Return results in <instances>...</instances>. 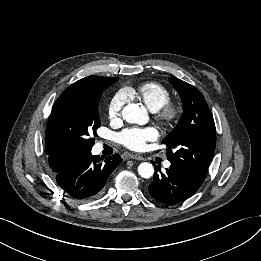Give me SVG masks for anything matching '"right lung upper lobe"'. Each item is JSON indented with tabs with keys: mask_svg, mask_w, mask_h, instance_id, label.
<instances>
[{
	"mask_svg": "<svg viewBox=\"0 0 261 261\" xmlns=\"http://www.w3.org/2000/svg\"><path fill=\"white\" fill-rule=\"evenodd\" d=\"M113 77H101V76H88L85 77L74 84L73 86L81 88H92L96 86H101L105 81ZM48 155V162L51 170L54 173L60 172L70 163L75 161L77 158L81 157L80 154L69 153V152H54V151H45Z\"/></svg>",
	"mask_w": 261,
	"mask_h": 261,
	"instance_id": "right-lung-upper-lobe-1",
	"label": "right lung upper lobe"
}]
</instances>
